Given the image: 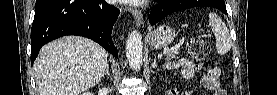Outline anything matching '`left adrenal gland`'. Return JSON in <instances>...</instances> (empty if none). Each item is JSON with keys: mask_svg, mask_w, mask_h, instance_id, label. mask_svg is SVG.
Segmentation results:
<instances>
[{"mask_svg": "<svg viewBox=\"0 0 277 95\" xmlns=\"http://www.w3.org/2000/svg\"><path fill=\"white\" fill-rule=\"evenodd\" d=\"M152 67H153V68H156V67H157V65H156V59H154V62H153V64H152Z\"/></svg>", "mask_w": 277, "mask_h": 95, "instance_id": "1", "label": "left adrenal gland"}]
</instances>
